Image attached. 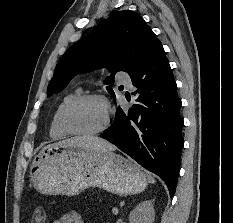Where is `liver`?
Segmentation results:
<instances>
[{
	"mask_svg": "<svg viewBox=\"0 0 233 223\" xmlns=\"http://www.w3.org/2000/svg\"><path fill=\"white\" fill-rule=\"evenodd\" d=\"M58 145H74V147H83V149H99V151H115L116 145H112L103 137L97 135H76V137H69L64 141H57Z\"/></svg>",
	"mask_w": 233,
	"mask_h": 223,
	"instance_id": "liver-1",
	"label": "liver"
}]
</instances>
